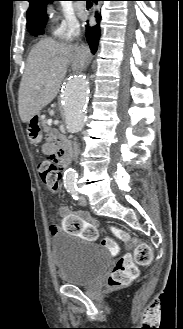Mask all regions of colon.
Here are the masks:
<instances>
[{"instance_id":"obj_1","label":"colon","mask_w":183,"mask_h":329,"mask_svg":"<svg viewBox=\"0 0 183 329\" xmlns=\"http://www.w3.org/2000/svg\"><path fill=\"white\" fill-rule=\"evenodd\" d=\"M38 170L42 182L48 186L52 192H59L61 189L63 169L55 156L49 155L44 158L39 163ZM68 220L81 219L72 216L71 219ZM116 234L123 241H129V237L126 233L116 230ZM102 245L113 254L117 252L116 243L111 238L103 239ZM151 259L152 251L150 246L146 243L136 244L132 255L125 254L117 260L108 277V285L110 287H121L131 282L137 276V265H148Z\"/></svg>"}]
</instances>
